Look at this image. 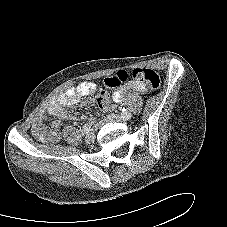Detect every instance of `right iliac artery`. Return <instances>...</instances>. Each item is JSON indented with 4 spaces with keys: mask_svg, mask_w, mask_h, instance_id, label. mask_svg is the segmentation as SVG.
I'll use <instances>...</instances> for the list:
<instances>
[{
    "mask_svg": "<svg viewBox=\"0 0 227 227\" xmlns=\"http://www.w3.org/2000/svg\"><path fill=\"white\" fill-rule=\"evenodd\" d=\"M90 128H91V125L89 123L85 124L81 129L82 135L89 133Z\"/></svg>",
    "mask_w": 227,
    "mask_h": 227,
    "instance_id": "82829eb1",
    "label": "right iliac artery"
}]
</instances>
